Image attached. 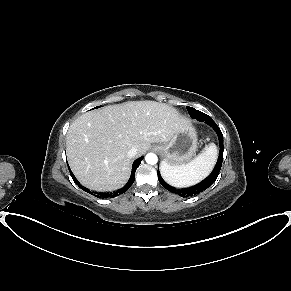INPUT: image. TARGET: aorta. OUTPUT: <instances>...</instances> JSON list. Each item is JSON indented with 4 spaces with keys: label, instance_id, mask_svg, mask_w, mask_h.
I'll list each match as a JSON object with an SVG mask.
<instances>
[{
    "label": "aorta",
    "instance_id": "aorta-1",
    "mask_svg": "<svg viewBox=\"0 0 291 291\" xmlns=\"http://www.w3.org/2000/svg\"><path fill=\"white\" fill-rule=\"evenodd\" d=\"M145 160L148 164L150 165H154L157 163L158 161V158H157V155L154 154V153H148L145 157Z\"/></svg>",
    "mask_w": 291,
    "mask_h": 291
}]
</instances>
